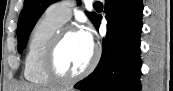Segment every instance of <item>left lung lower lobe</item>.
Wrapping results in <instances>:
<instances>
[{
  "instance_id": "obj_1",
  "label": "left lung lower lobe",
  "mask_w": 173,
  "mask_h": 91,
  "mask_svg": "<svg viewBox=\"0 0 173 91\" xmlns=\"http://www.w3.org/2000/svg\"><path fill=\"white\" fill-rule=\"evenodd\" d=\"M142 0H105L108 23L95 70L74 85L83 91H140ZM101 16L94 25L99 29Z\"/></svg>"
}]
</instances>
